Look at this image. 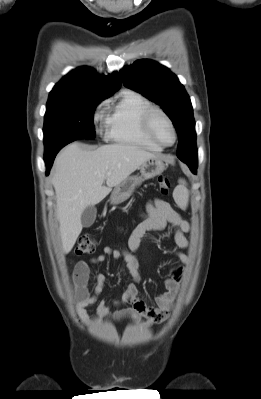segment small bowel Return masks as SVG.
<instances>
[{
	"label": "small bowel",
	"instance_id": "small-bowel-1",
	"mask_svg": "<svg viewBox=\"0 0 261 399\" xmlns=\"http://www.w3.org/2000/svg\"><path fill=\"white\" fill-rule=\"evenodd\" d=\"M167 226H172L174 229L173 240L176 248L173 250V254L179 263L170 266V274L164 280L166 291L155 298L156 305L148 306L139 297V260L132 252L139 249L147 233L162 230ZM188 230V223L182 219L179 213L168 202L155 198L145 205V209L141 213V221L129 238L128 246L131 252L106 246L103 249V253L92 257L89 261H78L72 272L71 281L74 296L77 300L78 312L82 320L87 324L92 323L85 309L88 306L96 304L98 298L103 295L105 290L106 277L103 274L97 276L93 291L90 292L88 290L90 265L101 264L105 262L107 257H112L126 264L132 276V281L127 284L121 298L108 299V301L116 307L125 304H129L131 307L112 312L107 305V300L102 299L97 303L96 314L101 318L109 317L115 321L128 319L132 322H139L144 318L142 322L144 327L164 322L169 316L170 310L180 292L186 267L190 262L189 255L182 251L189 247V241L185 236Z\"/></svg>",
	"mask_w": 261,
	"mask_h": 399
}]
</instances>
